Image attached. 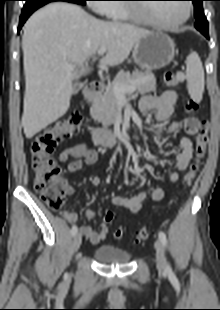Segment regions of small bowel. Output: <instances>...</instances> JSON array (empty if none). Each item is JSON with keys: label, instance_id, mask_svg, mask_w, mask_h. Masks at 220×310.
<instances>
[{"label": "small bowel", "instance_id": "c3829d8e", "mask_svg": "<svg viewBox=\"0 0 220 310\" xmlns=\"http://www.w3.org/2000/svg\"><path fill=\"white\" fill-rule=\"evenodd\" d=\"M177 102L178 93L174 90H166L161 96L147 95L142 97L139 103V110L142 114L153 112L156 121L164 123L172 116ZM180 128H182L188 136L180 140V151L175 156L177 171L170 172L168 176L169 182L173 184L179 181V171L186 170L192 159L194 149L190 136L197 134L199 120L193 116L186 117L182 121L170 123L166 128V132L172 133ZM70 159L72 160L69 161ZM58 160L63 163L68 162L67 170L70 173H75L79 171L84 164L91 165L96 163L98 160V151L85 143H78L62 150L58 155ZM90 181L95 186L101 183L99 176H91ZM74 192V187L68 186L67 193L72 195ZM147 196L148 190H143L131 197L114 194L111 197V202L117 207L127 209L131 215H136L140 212ZM164 196L165 191L161 187H156L151 191V198L154 201H161ZM62 215L68 222H75L78 219V214L75 212L64 210L62 211ZM85 217L86 222L80 227V234L86 237L92 244L101 243L108 233V226L105 223H101L97 230H93L90 221L93 219L94 213L91 210H86Z\"/></svg>", "mask_w": 220, "mask_h": 310}]
</instances>
